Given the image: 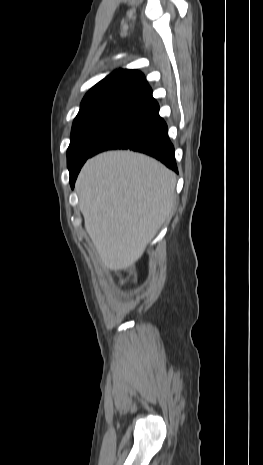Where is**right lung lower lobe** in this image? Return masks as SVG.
I'll return each instance as SVG.
<instances>
[{
	"instance_id": "right-lung-lower-lobe-1",
	"label": "right lung lower lobe",
	"mask_w": 263,
	"mask_h": 465,
	"mask_svg": "<svg viewBox=\"0 0 263 465\" xmlns=\"http://www.w3.org/2000/svg\"><path fill=\"white\" fill-rule=\"evenodd\" d=\"M111 149H130L150 155L167 167L178 172L174 147L167 133V125L159 116V105L152 93L143 97L117 124L101 139L93 154ZM82 167V166H81ZM70 172V184L81 169Z\"/></svg>"
}]
</instances>
